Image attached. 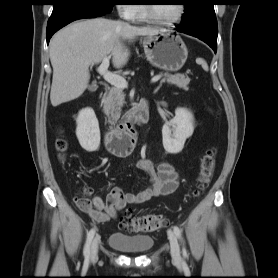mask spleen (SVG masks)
Returning <instances> with one entry per match:
<instances>
[{
	"label": "spleen",
	"mask_w": 278,
	"mask_h": 278,
	"mask_svg": "<svg viewBox=\"0 0 278 278\" xmlns=\"http://www.w3.org/2000/svg\"><path fill=\"white\" fill-rule=\"evenodd\" d=\"M197 63L200 64L205 71H208V64L204 59L198 58Z\"/></svg>",
	"instance_id": "3e777b00"
}]
</instances>
